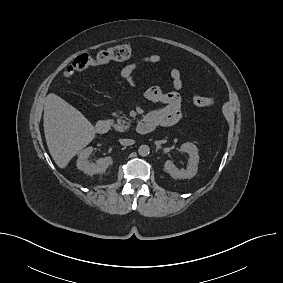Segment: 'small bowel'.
<instances>
[{"instance_id":"c3829d8e","label":"small bowel","mask_w":283,"mask_h":283,"mask_svg":"<svg viewBox=\"0 0 283 283\" xmlns=\"http://www.w3.org/2000/svg\"><path fill=\"white\" fill-rule=\"evenodd\" d=\"M159 54H151L142 57L140 60L126 65L120 72L121 79L130 84H134V73L142 64L154 65L161 61ZM171 81L174 91L164 92L158 86L149 87L145 93V98L153 103H160L161 106L150 111L146 118L154 123V126H171L176 124L182 117L181 97L179 91L182 89L183 80L181 71L173 68L170 71Z\"/></svg>"}]
</instances>
